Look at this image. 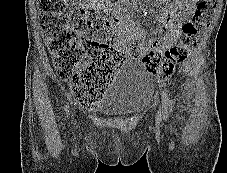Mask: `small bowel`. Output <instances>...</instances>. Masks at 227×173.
Returning a JSON list of instances; mask_svg holds the SVG:
<instances>
[{"label":"small bowel","mask_w":227,"mask_h":173,"mask_svg":"<svg viewBox=\"0 0 227 173\" xmlns=\"http://www.w3.org/2000/svg\"><path fill=\"white\" fill-rule=\"evenodd\" d=\"M167 5L158 15V21L162 24L159 29L161 38H151L150 44L158 43L164 47L171 46L179 37L181 33L180 22L182 19H188L194 9L198 0H161ZM100 6L99 2L95 4ZM94 5V6H95ZM121 41L118 44L117 51L121 56L124 54L131 57H137L129 52V44L132 41L141 42L144 45L145 32L143 28L135 24L127 16L121 18ZM145 48V45H144Z\"/></svg>","instance_id":"c3829d8e"}]
</instances>
